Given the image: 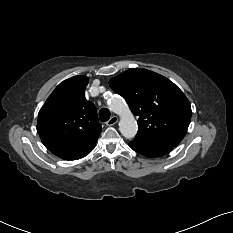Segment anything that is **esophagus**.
Returning <instances> with one entry per match:
<instances>
[{"mask_svg": "<svg viewBox=\"0 0 233 233\" xmlns=\"http://www.w3.org/2000/svg\"><path fill=\"white\" fill-rule=\"evenodd\" d=\"M118 122V117L117 116H112L107 122L106 125L108 126H113Z\"/></svg>", "mask_w": 233, "mask_h": 233, "instance_id": "obj_1", "label": "esophagus"}]
</instances>
